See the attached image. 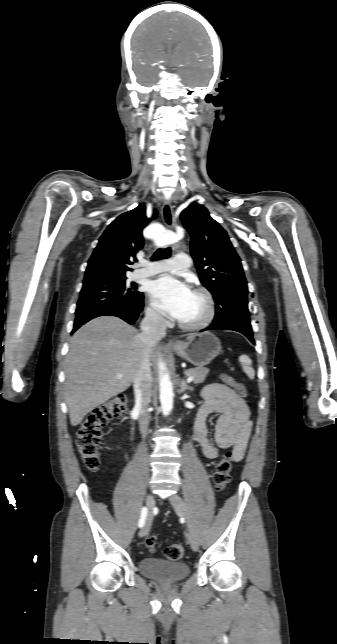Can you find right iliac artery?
<instances>
[{"label": "right iliac artery", "instance_id": "right-iliac-artery-1", "mask_svg": "<svg viewBox=\"0 0 337 644\" xmlns=\"http://www.w3.org/2000/svg\"><path fill=\"white\" fill-rule=\"evenodd\" d=\"M147 514H148V509L146 507H143L141 509V516H140V519H139V522H138V526L140 528L144 526Z\"/></svg>", "mask_w": 337, "mask_h": 644}]
</instances>
